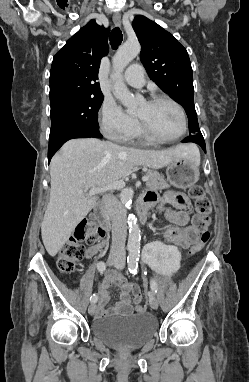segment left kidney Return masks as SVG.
Listing matches in <instances>:
<instances>
[{"instance_id": "5707ae66", "label": "left kidney", "mask_w": 249, "mask_h": 382, "mask_svg": "<svg viewBox=\"0 0 249 382\" xmlns=\"http://www.w3.org/2000/svg\"><path fill=\"white\" fill-rule=\"evenodd\" d=\"M163 244L165 243L159 238L154 241V244L147 241V245H143L141 266L151 267L163 277H181L183 267L179 246Z\"/></svg>"}]
</instances>
